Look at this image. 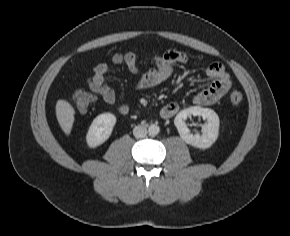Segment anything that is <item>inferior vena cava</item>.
I'll list each match as a JSON object with an SVG mask.
<instances>
[{
    "instance_id": "602c4592",
    "label": "inferior vena cava",
    "mask_w": 290,
    "mask_h": 236,
    "mask_svg": "<svg viewBox=\"0 0 290 236\" xmlns=\"http://www.w3.org/2000/svg\"><path fill=\"white\" fill-rule=\"evenodd\" d=\"M133 135L136 137V138H143L147 135V129L145 126H142V125H138V126H135L134 129H133Z\"/></svg>"
}]
</instances>
